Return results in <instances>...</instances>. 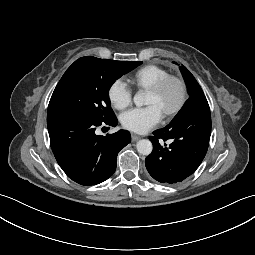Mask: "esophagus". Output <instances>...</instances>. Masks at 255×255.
Segmentation results:
<instances>
[{
  "mask_svg": "<svg viewBox=\"0 0 255 255\" xmlns=\"http://www.w3.org/2000/svg\"><path fill=\"white\" fill-rule=\"evenodd\" d=\"M131 138H132V142H136V141H138L140 139L139 136L134 135V134H132Z\"/></svg>",
  "mask_w": 255,
  "mask_h": 255,
  "instance_id": "34e87169",
  "label": "esophagus"
}]
</instances>
